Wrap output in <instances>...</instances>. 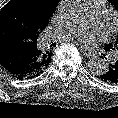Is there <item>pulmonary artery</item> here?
I'll return each instance as SVG.
<instances>
[{
  "mask_svg": "<svg viewBox=\"0 0 118 118\" xmlns=\"http://www.w3.org/2000/svg\"><path fill=\"white\" fill-rule=\"evenodd\" d=\"M105 10V0H86L82 14L63 27L55 29L50 39H69L76 37L82 32L85 26L99 20L105 13ZM117 59L118 56L116 54L110 57V61L113 63Z\"/></svg>",
  "mask_w": 118,
  "mask_h": 118,
  "instance_id": "1",
  "label": "pulmonary artery"
}]
</instances>
